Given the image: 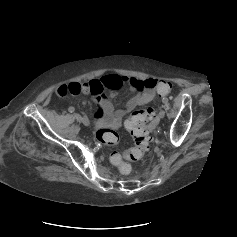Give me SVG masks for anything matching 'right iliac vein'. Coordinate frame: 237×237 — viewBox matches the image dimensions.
<instances>
[{"label": "right iliac vein", "instance_id": "obj_1", "mask_svg": "<svg viewBox=\"0 0 237 237\" xmlns=\"http://www.w3.org/2000/svg\"><path fill=\"white\" fill-rule=\"evenodd\" d=\"M82 123L85 125V126H89L90 125V121L87 117H83L82 118Z\"/></svg>", "mask_w": 237, "mask_h": 237}]
</instances>
